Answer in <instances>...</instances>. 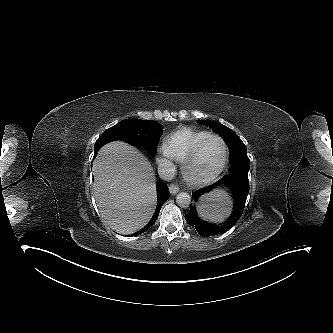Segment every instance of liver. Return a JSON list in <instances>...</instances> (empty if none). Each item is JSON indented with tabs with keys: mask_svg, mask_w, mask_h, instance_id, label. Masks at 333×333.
<instances>
[{
	"mask_svg": "<svg viewBox=\"0 0 333 333\" xmlns=\"http://www.w3.org/2000/svg\"><path fill=\"white\" fill-rule=\"evenodd\" d=\"M94 195L102 218L116 232L131 234L150 220L157 195L152 166L131 145L103 146L93 164Z\"/></svg>",
	"mask_w": 333,
	"mask_h": 333,
	"instance_id": "1",
	"label": "liver"
}]
</instances>
